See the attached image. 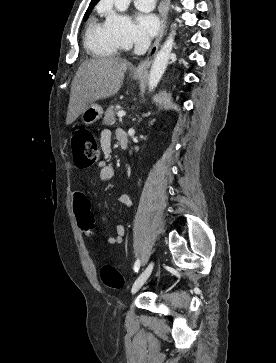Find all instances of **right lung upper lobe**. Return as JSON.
<instances>
[{
  "label": "right lung upper lobe",
  "mask_w": 276,
  "mask_h": 363,
  "mask_svg": "<svg viewBox=\"0 0 276 363\" xmlns=\"http://www.w3.org/2000/svg\"><path fill=\"white\" fill-rule=\"evenodd\" d=\"M99 0H91V3H90V5H89V8L90 7H94V5L95 4H97V2H98Z\"/></svg>",
  "instance_id": "cb5924a9"
}]
</instances>
